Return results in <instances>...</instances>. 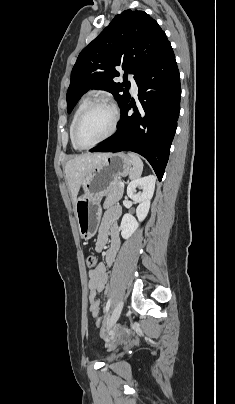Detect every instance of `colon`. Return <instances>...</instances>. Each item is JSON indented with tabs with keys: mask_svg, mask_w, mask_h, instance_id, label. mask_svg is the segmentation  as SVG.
<instances>
[{
	"mask_svg": "<svg viewBox=\"0 0 235 404\" xmlns=\"http://www.w3.org/2000/svg\"><path fill=\"white\" fill-rule=\"evenodd\" d=\"M86 264H87L88 268L94 269L98 265L97 257H95L93 255H89L86 258ZM95 323H96V326L102 327L104 325V320L101 317H97L95 320Z\"/></svg>",
	"mask_w": 235,
	"mask_h": 404,
	"instance_id": "5ec220e1",
	"label": "colon"
}]
</instances>
